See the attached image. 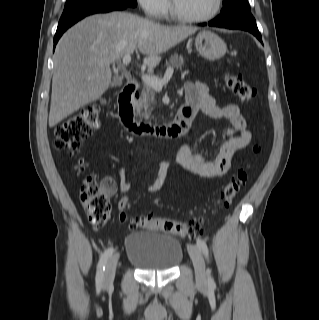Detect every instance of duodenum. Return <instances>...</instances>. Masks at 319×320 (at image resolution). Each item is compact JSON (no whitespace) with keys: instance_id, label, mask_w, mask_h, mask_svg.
<instances>
[{"instance_id":"duodenum-1","label":"duodenum","mask_w":319,"mask_h":320,"mask_svg":"<svg viewBox=\"0 0 319 320\" xmlns=\"http://www.w3.org/2000/svg\"><path fill=\"white\" fill-rule=\"evenodd\" d=\"M137 84L128 82L118 96V115L122 124L130 131L138 135H153L156 137L171 139L185 133L196 114V110L181 107L175 119L166 124L150 125L134 120V100L136 98Z\"/></svg>"}]
</instances>
